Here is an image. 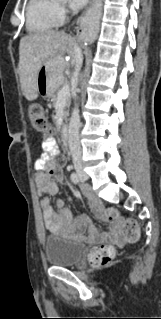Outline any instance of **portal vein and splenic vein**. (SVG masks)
Returning a JSON list of instances; mask_svg holds the SVG:
<instances>
[{
  "instance_id": "portal-vein-and-splenic-vein-1",
  "label": "portal vein and splenic vein",
  "mask_w": 161,
  "mask_h": 319,
  "mask_svg": "<svg viewBox=\"0 0 161 319\" xmlns=\"http://www.w3.org/2000/svg\"><path fill=\"white\" fill-rule=\"evenodd\" d=\"M69 93V85L63 86L61 90L58 92V99H66L69 96Z\"/></svg>"
}]
</instances>
